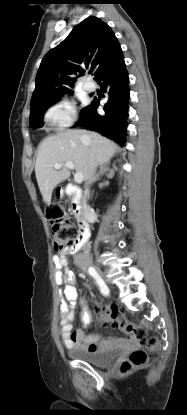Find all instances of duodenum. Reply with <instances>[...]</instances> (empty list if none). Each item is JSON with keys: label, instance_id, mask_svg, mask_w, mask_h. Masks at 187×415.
<instances>
[{"label": "duodenum", "instance_id": "410a0bca", "mask_svg": "<svg viewBox=\"0 0 187 415\" xmlns=\"http://www.w3.org/2000/svg\"><path fill=\"white\" fill-rule=\"evenodd\" d=\"M64 194L70 198V204L72 211L82 217L80 223H79V230H80V243H84L88 240L90 229H89V222L94 219V215L89 212L83 211L82 204H81V198L82 193L81 190L74 185H68L65 188ZM78 247H76L77 249Z\"/></svg>", "mask_w": 187, "mask_h": 415}]
</instances>
